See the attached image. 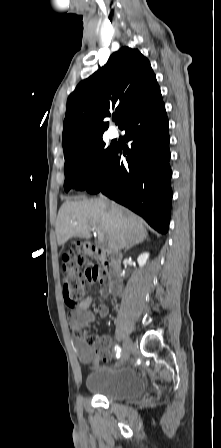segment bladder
Masks as SVG:
<instances>
[{
    "mask_svg": "<svg viewBox=\"0 0 221 448\" xmlns=\"http://www.w3.org/2000/svg\"><path fill=\"white\" fill-rule=\"evenodd\" d=\"M86 388L95 395L112 401H128L146 394V384L131 368L103 369L88 375Z\"/></svg>",
    "mask_w": 221,
    "mask_h": 448,
    "instance_id": "1",
    "label": "bladder"
}]
</instances>
